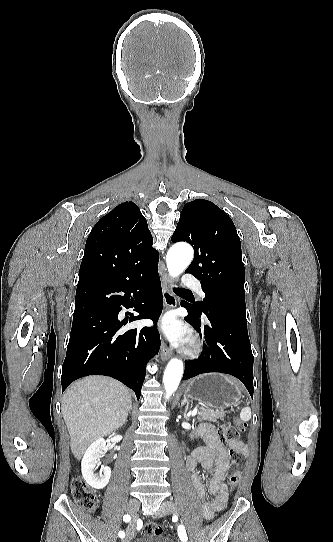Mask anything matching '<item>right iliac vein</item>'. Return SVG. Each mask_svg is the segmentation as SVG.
<instances>
[{"label": "right iliac vein", "instance_id": "63e3f726", "mask_svg": "<svg viewBox=\"0 0 333 542\" xmlns=\"http://www.w3.org/2000/svg\"><path fill=\"white\" fill-rule=\"evenodd\" d=\"M138 508H139L138 501L135 499H132L127 504V513H129L134 518ZM134 530H135V521L133 520L130 522V524L126 528V537L124 538L123 542H129L132 540L134 536Z\"/></svg>", "mask_w": 333, "mask_h": 542}]
</instances>
